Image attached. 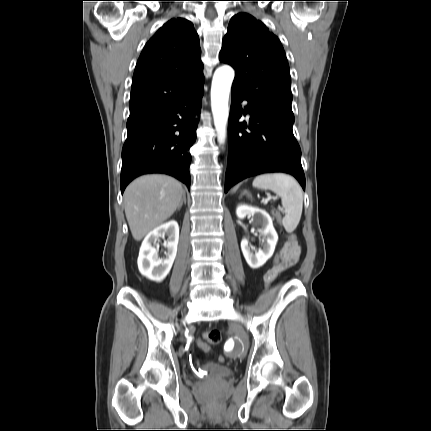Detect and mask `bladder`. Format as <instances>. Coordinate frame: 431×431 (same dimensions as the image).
I'll use <instances>...</instances> for the list:
<instances>
[{"label": "bladder", "mask_w": 431, "mask_h": 431, "mask_svg": "<svg viewBox=\"0 0 431 431\" xmlns=\"http://www.w3.org/2000/svg\"><path fill=\"white\" fill-rule=\"evenodd\" d=\"M233 374L234 371L226 365L208 362L202 366L200 376L206 379L219 380L231 377Z\"/></svg>", "instance_id": "obj_1"}]
</instances>
